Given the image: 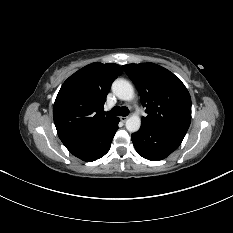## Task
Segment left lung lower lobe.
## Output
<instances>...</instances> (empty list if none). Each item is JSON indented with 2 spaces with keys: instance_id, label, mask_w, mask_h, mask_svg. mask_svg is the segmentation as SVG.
<instances>
[{
  "instance_id": "left-lung-lower-lobe-1",
  "label": "left lung lower lobe",
  "mask_w": 233,
  "mask_h": 233,
  "mask_svg": "<svg viewBox=\"0 0 233 233\" xmlns=\"http://www.w3.org/2000/svg\"><path fill=\"white\" fill-rule=\"evenodd\" d=\"M136 151L144 158L158 161L175 151L184 135L155 128L142 123L140 130L131 136Z\"/></svg>"
}]
</instances>
